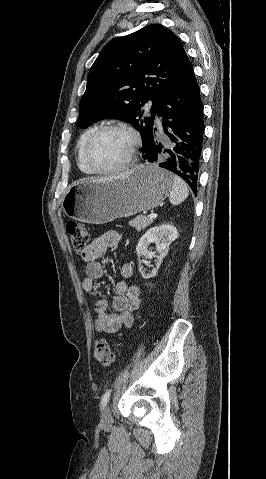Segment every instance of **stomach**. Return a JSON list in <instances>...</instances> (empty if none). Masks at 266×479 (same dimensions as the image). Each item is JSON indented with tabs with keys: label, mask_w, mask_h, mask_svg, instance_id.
Returning a JSON list of instances; mask_svg holds the SVG:
<instances>
[{
	"label": "stomach",
	"mask_w": 266,
	"mask_h": 479,
	"mask_svg": "<svg viewBox=\"0 0 266 479\" xmlns=\"http://www.w3.org/2000/svg\"><path fill=\"white\" fill-rule=\"evenodd\" d=\"M172 181L171 173L164 169L138 165L122 177L71 185L61 206L69 218L105 224L157 207L168 197Z\"/></svg>",
	"instance_id": "1"
}]
</instances>
